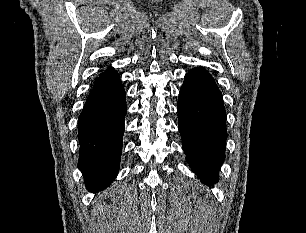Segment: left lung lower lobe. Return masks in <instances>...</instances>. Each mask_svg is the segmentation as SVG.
<instances>
[{"label":"left lung lower lobe","instance_id":"1","mask_svg":"<svg viewBox=\"0 0 306 233\" xmlns=\"http://www.w3.org/2000/svg\"><path fill=\"white\" fill-rule=\"evenodd\" d=\"M177 111L186 160L205 184L213 186L225 158L226 111L220 90L203 68L185 75Z\"/></svg>","mask_w":306,"mask_h":233}]
</instances>
